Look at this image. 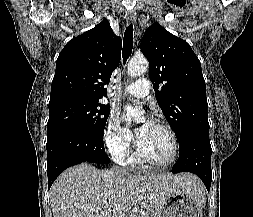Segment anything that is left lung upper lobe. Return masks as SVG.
<instances>
[{"label": "left lung upper lobe", "mask_w": 253, "mask_h": 217, "mask_svg": "<svg viewBox=\"0 0 253 217\" xmlns=\"http://www.w3.org/2000/svg\"><path fill=\"white\" fill-rule=\"evenodd\" d=\"M156 100L180 142L190 131L209 133L208 103L201 64L190 45L154 23L144 33Z\"/></svg>", "instance_id": "obj_1"}]
</instances>
